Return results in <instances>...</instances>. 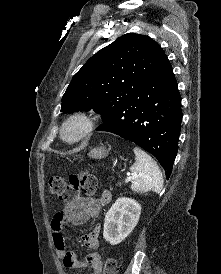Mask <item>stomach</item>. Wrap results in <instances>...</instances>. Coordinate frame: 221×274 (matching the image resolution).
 <instances>
[{
  "label": "stomach",
  "instance_id": "obj_1",
  "mask_svg": "<svg viewBox=\"0 0 221 274\" xmlns=\"http://www.w3.org/2000/svg\"><path fill=\"white\" fill-rule=\"evenodd\" d=\"M108 155V150L105 147L93 148L90 151V157L93 159H102Z\"/></svg>",
  "mask_w": 221,
  "mask_h": 274
}]
</instances>
